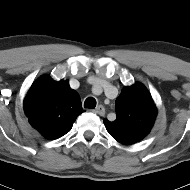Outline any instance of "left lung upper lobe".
Returning <instances> with one entry per match:
<instances>
[{"mask_svg": "<svg viewBox=\"0 0 190 190\" xmlns=\"http://www.w3.org/2000/svg\"><path fill=\"white\" fill-rule=\"evenodd\" d=\"M116 119H104L108 133L119 143L134 144L150 132L157 115L154 101L140 83L124 87L116 99Z\"/></svg>", "mask_w": 190, "mask_h": 190, "instance_id": "5c2ea615", "label": "left lung upper lobe"}]
</instances>
